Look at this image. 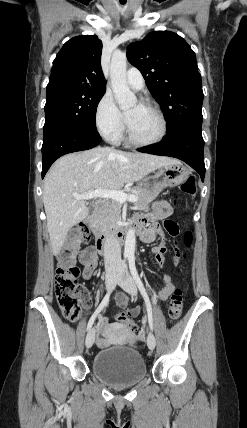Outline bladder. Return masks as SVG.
<instances>
[{
	"label": "bladder",
	"mask_w": 247,
	"mask_h": 428,
	"mask_svg": "<svg viewBox=\"0 0 247 428\" xmlns=\"http://www.w3.org/2000/svg\"><path fill=\"white\" fill-rule=\"evenodd\" d=\"M147 369L142 355L134 348L113 346L97 352L92 373L112 386L132 385L142 380Z\"/></svg>",
	"instance_id": "1"
}]
</instances>
